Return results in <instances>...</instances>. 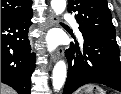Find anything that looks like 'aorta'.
<instances>
[{
  "instance_id": "obj_1",
  "label": "aorta",
  "mask_w": 121,
  "mask_h": 94,
  "mask_svg": "<svg viewBox=\"0 0 121 94\" xmlns=\"http://www.w3.org/2000/svg\"><path fill=\"white\" fill-rule=\"evenodd\" d=\"M51 8L56 15H60L66 8V0H51ZM66 64L63 60L56 63L53 69L52 84L55 90H60L66 80Z\"/></svg>"
}]
</instances>
